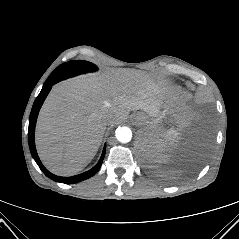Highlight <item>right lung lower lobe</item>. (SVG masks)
Segmentation results:
<instances>
[{
	"mask_svg": "<svg viewBox=\"0 0 239 239\" xmlns=\"http://www.w3.org/2000/svg\"><path fill=\"white\" fill-rule=\"evenodd\" d=\"M52 86H47V87H43L41 92L39 93V95L37 96L32 110H31V114H30V118H29V129H28V142H29V147H30V151L31 154L34 158V160L36 161V163L38 164L39 168L43 171V173L49 177L50 179L60 182V183H65V184H72V183H78L81 182L83 180H86L90 177H92L95 173H97V171L100 169L102 161L104 159L105 156V151H106V145L104 146L101 158L99 160V162L89 171L84 172L82 174L76 175V176H72V177H60V176H56L52 173H50L41 163V161L39 160V157L37 155L36 149H35V141H34V131H35V125H36V120H37V116L39 113V110L46 98V96L48 95L50 89Z\"/></svg>",
	"mask_w": 239,
	"mask_h": 239,
	"instance_id": "1",
	"label": "right lung lower lobe"
}]
</instances>
